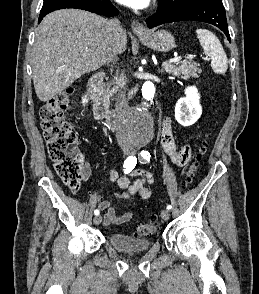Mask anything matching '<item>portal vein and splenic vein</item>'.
Listing matches in <instances>:
<instances>
[{"mask_svg": "<svg viewBox=\"0 0 259 294\" xmlns=\"http://www.w3.org/2000/svg\"><path fill=\"white\" fill-rule=\"evenodd\" d=\"M181 60V57H175V58H172L170 59L169 61H167L164 65L166 64H171V63H177Z\"/></svg>", "mask_w": 259, "mask_h": 294, "instance_id": "18ae733b", "label": "portal vein and splenic vein"}]
</instances>
